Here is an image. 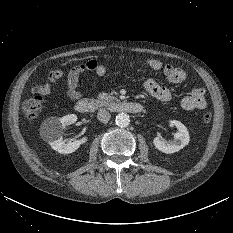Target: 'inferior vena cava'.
I'll use <instances>...</instances> for the list:
<instances>
[{"label":"inferior vena cava","mask_w":233,"mask_h":233,"mask_svg":"<svg viewBox=\"0 0 233 233\" xmlns=\"http://www.w3.org/2000/svg\"><path fill=\"white\" fill-rule=\"evenodd\" d=\"M97 118L98 120H100L103 123H107L110 118H111V114L109 113L108 110L106 109H100L97 113Z\"/></svg>","instance_id":"602c4592"}]
</instances>
